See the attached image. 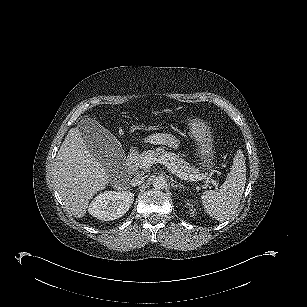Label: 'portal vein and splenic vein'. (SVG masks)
Masks as SVG:
<instances>
[{
    "instance_id": "portal-vein-and-splenic-vein-1",
    "label": "portal vein and splenic vein",
    "mask_w": 307,
    "mask_h": 307,
    "mask_svg": "<svg viewBox=\"0 0 307 307\" xmlns=\"http://www.w3.org/2000/svg\"><path fill=\"white\" fill-rule=\"evenodd\" d=\"M158 162V163H165L166 161L161 157V158H156L152 156H146L143 161H142V166L143 168H149L153 163ZM169 169L170 171L178 176L182 180H190V181H195V180H206L207 182L213 184L216 188L219 186V184L209 177L206 174H199V175H188L186 173H183L182 171L178 170L175 167H172V165L169 163Z\"/></svg>"
}]
</instances>
